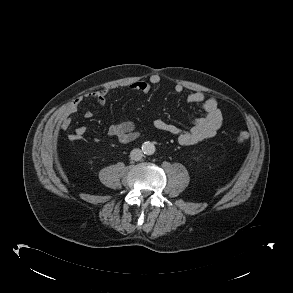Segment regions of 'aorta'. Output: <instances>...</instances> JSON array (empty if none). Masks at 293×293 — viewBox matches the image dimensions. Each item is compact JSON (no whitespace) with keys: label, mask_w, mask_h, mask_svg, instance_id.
<instances>
[{"label":"aorta","mask_w":293,"mask_h":293,"mask_svg":"<svg viewBox=\"0 0 293 293\" xmlns=\"http://www.w3.org/2000/svg\"><path fill=\"white\" fill-rule=\"evenodd\" d=\"M142 151L144 154L152 155L155 152V146L152 142L146 141L142 144Z\"/></svg>","instance_id":"obj_1"}]
</instances>
